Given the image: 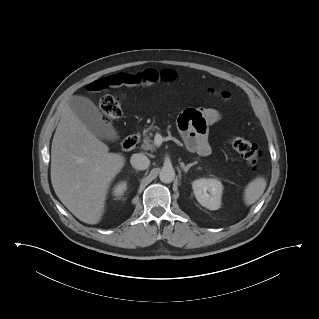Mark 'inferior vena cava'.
Returning <instances> with one entry per match:
<instances>
[{
  "label": "inferior vena cava",
  "instance_id": "602c4592",
  "mask_svg": "<svg viewBox=\"0 0 319 319\" xmlns=\"http://www.w3.org/2000/svg\"><path fill=\"white\" fill-rule=\"evenodd\" d=\"M130 163L137 170H145L149 167L150 160L144 154L137 153L131 156Z\"/></svg>",
  "mask_w": 319,
  "mask_h": 319
}]
</instances>
